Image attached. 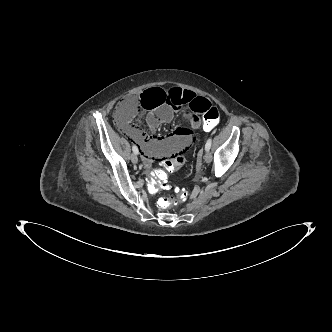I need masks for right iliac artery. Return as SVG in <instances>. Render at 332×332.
<instances>
[{"mask_svg": "<svg viewBox=\"0 0 332 332\" xmlns=\"http://www.w3.org/2000/svg\"><path fill=\"white\" fill-rule=\"evenodd\" d=\"M132 150H133L134 154H138V152H139L138 147L136 145L132 146Z\"/></svg>", "mask_w": 332, "mask_h": 332, "instance_id": "right-iliac-artery-1", "label": "right iliac artery"}]
</instances>
